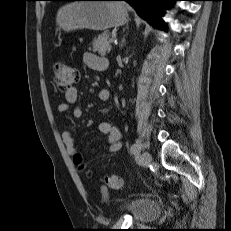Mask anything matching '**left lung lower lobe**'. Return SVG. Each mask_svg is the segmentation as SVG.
I'll return each instance as SVG.
<instances>
[{
    "label": "left lung lower lobe",
    "mask_w": 231,
    "mask_h": 231,
    "mask_svg": "<svg viewBox=\"0 0 231 231\" xmlns=\"http://www.w3.org/2000/svg\"><path fill=\"white\" fill-rule=\"evenodd\" d=\"M57 1V0H56ZM73 1V0H59ZM129 3L138 15L147 20L153 26L164 29V23L161 19L162 10L168 7V3L178 0H121ZM166 30V29H165Z\"/></svg>",
    "instance_id": "left-lung-lower-lobe-1"
}]
</instances>
